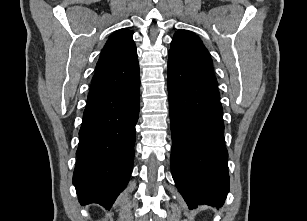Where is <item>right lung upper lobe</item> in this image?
<instances>
[{
  "label": "right lung upper lobe",
  "mask_w": 307,
  "mask_h": 221,
  "mask_svg": "<svg viewBox=\"0 0 307 221\" xmlns=\"http://www.w3.org/2000/svg\"><path fill=\"white\" fill-rule=\"evenodd\" d=\"M133 32L120 29L110 36L96 65L88 100L131 86L139 78V63Z\"/></svg>",
  "instance_id": "cb5924a9"
}]
</instances>
